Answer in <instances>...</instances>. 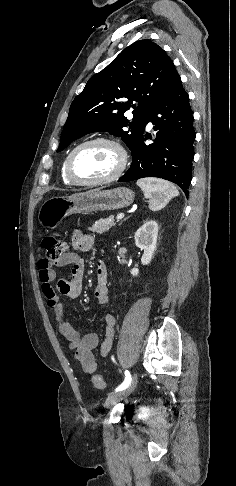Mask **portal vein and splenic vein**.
<instances>
[{
    "label": "portal vein and splenic vein",
    "mask_w": 236,
    "mask_h": 486,
    "mask_svg": "<svg viewBox=\"0 0 236 486\" xmlns=\"http://www.w3.org/2000/svg\"><path fill=\"white\" fill-rule=\"evenodd\" d=\"M123 218H124V214L123 213L118 214L117 217H116L117 220H121Z\"/></svg>",
    "instance_id": "1"
}]
</instances>
